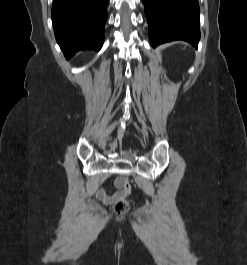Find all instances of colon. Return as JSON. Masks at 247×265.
<instances>
[{
    "mask_svg": "<svg viewBox=\"0 0 247 265\" xmlns=\"http://www.w3.org/2000/svg\"><path fill=\"white\" fill-rule=\"evenodd\" d=\"M120 182L124 196L118 199L113 206V211L117 215H123L128 211L129 202L126 198V195H128L131 192V184L127 180L120 179Z\"/></svg>",
    "mask_w": 247,
    "mask_h": 265,
    "instance_id": "colon-1",
    "label": "colon"
}]
</instances>
